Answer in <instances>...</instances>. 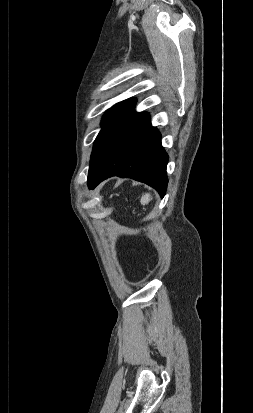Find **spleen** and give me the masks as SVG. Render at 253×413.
Instances as JSON below:
<instances>
[{
	"instance_id": "3e777b00",
	"label": "spleen",
	"mask_w": 253,
	"mask_h": 413,
	"mask_svg": "<svg viewBox=\"0 0 253 413\" xmlns=\"http://www.w3.org/2000/svg\"><path fill=\"white\" fill-rule=\"evenodd\" d=\"M151 199H152L151 195L149 193H146L141 197L140 202L142 205H146L150 202Z\"/></svg>"
}]
</instances>
